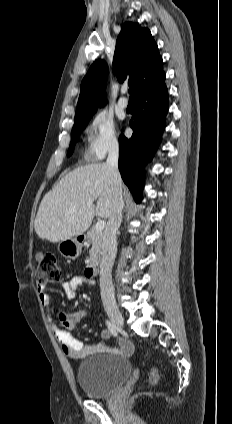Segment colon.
I'll return each instance as SVG.
<instances>
[{"mask_svg": "<svg viewBox=\"0 0 232 424\" xmlns=\"http://www.w3.org/2000/svg\"><path fill=\"white\" fill-rule=\"evenodd\" d=\"M36 280L40 284H53L64 279V271L57 264L54 254L42 253L37 256ZM159 373L156 369H152L149 374V384L158 383Z\"/></svg>", "mask_w": 232, "mask_h": 424, "instance_id": "5ec220e1", "label": "colon"}]
</instances>
